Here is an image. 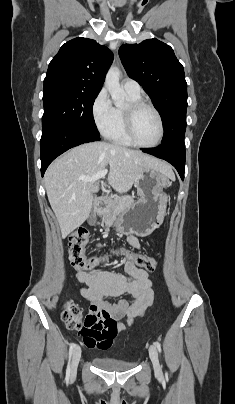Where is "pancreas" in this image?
Instances as JSON below:
<instances>
[{
    "label": "pancreas",
    "mask_w": 235,
    "mask_h": 404,
    "mask_svg": "<svg viewBox=\"0 0 235 404\" xmlns=\"http://www.w3.org/2000/svg\"><path fill=\"white\" fill-rule=\"evenodd\" d=\"M132 203L133 198L128 195L119 199L115 198L111 201L109 208L103 212V221L105 223H110L119 212Z\"/></svg>",
    "instance_id": "pancreas-1"
}]
</instances>
